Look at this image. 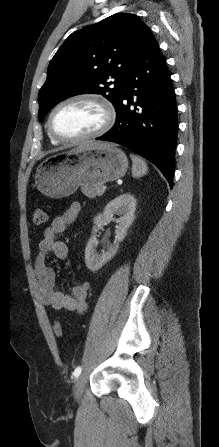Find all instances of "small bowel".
Returning <instances> with one entry per match:
<instances>
[{
	"label": "small bowel",
	"mask_w": 219,
	"mask_h": 447,
	"mask_svg": "<svg viewBox=\"0 0 219 447\" xmlns=\"http://www.w3.org/2000/svg\"><path fill=\"white\" fill-rule=\"evenodd\" d=\"M80 209V203L75 201L64 212L53 218L50 226L43 232L34 262V277L42 303L54 310H67L77 314H83L87 310L91 283L84 281L74 285L71 295L56 289V273L47 265L46 258L49 253H53L58 259H67L68 246L57 239V234L67 230L77 218Z\"/></svg>",
	"instance_id": "obj_1"
}]
</instances>
